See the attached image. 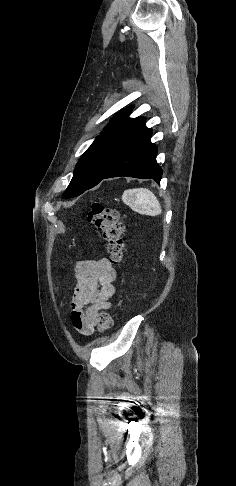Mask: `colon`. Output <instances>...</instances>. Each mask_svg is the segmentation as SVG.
Wrapping results in <instances>:
<instances>
[{"mask_svg": "<svg viewBox=\"0 0 236 486\" xmlns=\"http://www.w3.org/2000/svg\"><path fill=\"white\" fill-rule=\"evenodd\" d=\"M88 220L101 233L102 239L106 242V249L110 261L120 264L124 258V225L120 220L119 212L116 209L94 202L88 214ZM113 326V317L110 312H100L97 317L99 332H105Z\"/></svg>", "mask_w": 236, "mask_h": 486, "instance_id": "5ec220e1", "label": "colon"}]
</instances>
